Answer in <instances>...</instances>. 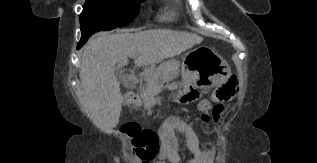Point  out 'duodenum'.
Segmentation results:
<instances>
[{
	"instance_id": "duodenum-1",
	"label": "duodenum",
	"mask_w": 317,
	"mask_h": 163,
	"mask_svg": "<svg viewBox=\"0 0 317 163\" xmlns=\"http://www.w3.org/2000/svg\"><path fill=\"white\" fill-rule=\"evenodd\" d=\"M136 98V92L133 90H129L125 94V100L127 103H131L135 100Z\"/></svg>"
}]
</instances>
